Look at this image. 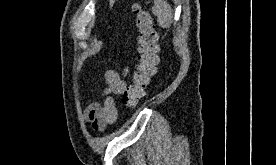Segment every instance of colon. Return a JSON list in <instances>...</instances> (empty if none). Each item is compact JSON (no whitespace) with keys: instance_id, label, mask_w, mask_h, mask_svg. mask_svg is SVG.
I'll use <instances>...</instances> for the list:
<instances>
[{"instance_id":"5ec220e1","label":"colon","mask_w":276,"mask_h":165,"mask_svg":"<svg viewBox=\"0 0 276 165\" xmlns=\"http://www.w3.org/2000/svg\"><path fill=\"white\" fill-rule=\"evenodd\" d=\"M133 13L138 32L139 55L132 82L122 97V103L127 108L137 106L142 100L159 62V37L150 13L138 4L133 6Z\"/></svg>"}]
</instances>
